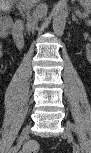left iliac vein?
I'll return each instance as SVG.
<instances>
[{"mask_svg":"<svg viewBox=\"0 0 91 153\" xmlns=\"http://www.w3.org/2000/svg\"><path fill=\"white\" fill-rule=\"evenodd\" d=\"M62 137L69 140V127H67V126L65 127V129L62 133Z\"/></svg>","mask_w":91,"mask_h":153,"instance_id":"left-iliac-vein-1","label":"left iliac vein"}]
</instances>
